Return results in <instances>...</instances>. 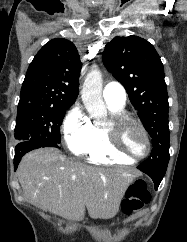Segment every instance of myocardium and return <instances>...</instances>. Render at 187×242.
<instances>
[{
    "label": "myocardium",
    "mask_w": 187,
    "mask_h": 242,
    "mask_svg": "<svg viewBox=\"0 0 187 242\" xmlns=\"http://www.w3.org/2000/svg\"><path fill=\"white\" fill-rule=\"evenodd\" d=\"M129 125L138 128L145 138L146 151L142 155L134 156L128 153L122 145V131ZM104 131L109 148L119 156L125 157L134 162L146 158L151 153L152 144L147 130L139 121L130 115L125 113L113 114L108 124L104 127Z\"/></svg>",
    "instance_id": "myocardium-1"
}]
</instances>
